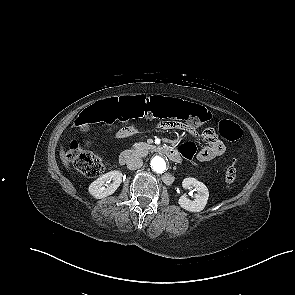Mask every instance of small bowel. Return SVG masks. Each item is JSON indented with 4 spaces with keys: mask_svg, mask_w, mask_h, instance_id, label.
<instances>
[{
    "mask_svg": "<svg viewBox=\"0 0 295 295\" xmlns=\"http://www.w3.org/2000/svg\"><path fill=\"white\" fill-rule=\"evenodd\" d=\"M159 127L161 129L179 130L185 136L194 139H199L201 137V132L199 130L190 128L183 121L161 120L159 122ZM136 131L137 128L135 126H125L118 129L115 132V136L118 139H125L134 135ZM202 138L206 142V146L196 153L197 160L200 162H208L224 154L225 145L218 139L213 129L205 130L202 133Z\"/></svg>",
    "mask_w": 295,
    "mask_h": 295,
    "instance_id": "obj_1",
    "label": "small bowel"
}]
</instances>
